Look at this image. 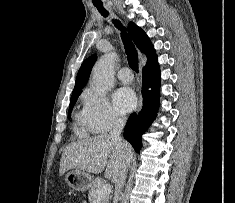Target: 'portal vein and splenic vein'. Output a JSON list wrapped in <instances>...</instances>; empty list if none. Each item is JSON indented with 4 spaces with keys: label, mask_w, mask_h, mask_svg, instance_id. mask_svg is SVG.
Here are the masks:
<instances>
[{
    "label": "portal vein and splenic vein",
    "mask_w": 235,
    "mask_h": 203,
    "mask_svg": "<svg viewBox=\"0 0 235 203\" xmlns=\"http://www.w3.org/2000/svg\"><path fill=\"white\" fill-rule=\"evenodd\" d=\"M110 192H111V185L110 184H105V185L102 186L101 189H99L97 191L96 197L98 199H101L102 197L109 195Z\"/></svg>",
    "instance_id": "1"
}]
</instances>
